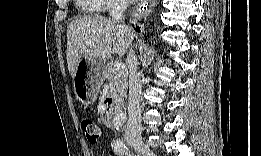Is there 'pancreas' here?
I'll use <instances>...</instances> for the list:
<instances>
[{
	"label": "pancreas",
	"instance_id": "1",
	"mask_svg": "<svg viewBox=\"0 0 261 156\" xmlns=\"http://www.w3.org/2000/svg\"><path fill=\"white\" fill-rule=\"evenodd\" d=\"M103 77L109 81L110 92L117 97L124 98L128 88V74L115 69L114 63H107L103 71Z\"/></svg>",
	"mask_w": 261,
	"mask_h": 156
}]
</instances>
